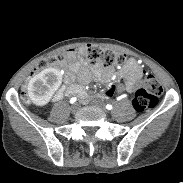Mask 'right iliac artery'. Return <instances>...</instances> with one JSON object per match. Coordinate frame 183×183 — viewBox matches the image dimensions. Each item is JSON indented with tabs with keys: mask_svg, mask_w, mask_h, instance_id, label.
<instances>
[{
	"mask_svg": "<svg viewBox=\"0 0 183 183\" xmlns=\"http://www.w3.org/2000/svg\"><path fill=\"white\" fill-rule=\"evenodd\" d=\"M76 100H77V98L76 97H73V98H71V100H70V103H74V102H76Z\"/></svg>",
	"mask_w": 183,
	"mask_h": 183,
	"instance_id": "82829eb1",
	"label": "right iliac artery"
}]
</instances>
